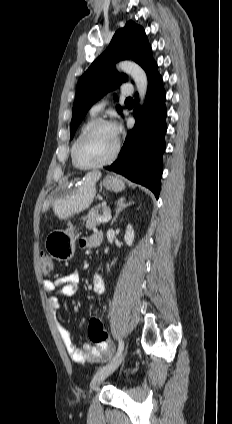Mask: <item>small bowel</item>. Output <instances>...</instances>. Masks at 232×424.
Returning a JSON list of instances; mask_svg holds the SVG:
<instances>
[{"label": "small bowel", "instance_id": "small-bowel-1", "mask_svg": "<svg viewBox=\"0 0 232 424\" xmlns=\"http://www.w3.org/2000/svg\"><path fill=\"white\" fill-rule=\"evenodd\" d=\"M99 233L84 237L80 240L82 248H92L97 246ZM79 273L77 271L70 272L54 280H46L43 283L44 290L47 293H55L64 296H74L77 293L79 283ZM92 289L94 293L102 295L105 291L103 279L99 275H94L92 278ZM48 305L53 315H57L60 309V303L56 296L48 298ZM58 332L63 341V344L71 356L78 363H94L102 362L108 359L111 354V347L108 343L99 345L84 344L81 348L75 345L69 331L58 325Z\"/></svg>", "mask_w": 232, "mask_h": 424}]
</instances>
